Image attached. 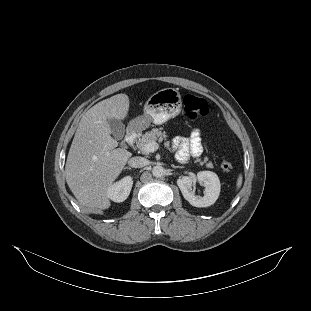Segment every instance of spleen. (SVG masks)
<instances>
[{
  "label": "spleen",
  "mask_w": 311,
  "mask_h": 311,
  "mask_svg": "<svg viewBox=\"0 0 311 311\" xmlns=\"http://www.w3.org/2000/svg\"><path fill=\"white\" fill-rule=\"evenodd\" d=\"M243 185V174L242 173H239L237 175V178H236V181H235V190H234V193H238L241 189Z\"/></svg>",
  "instance_id": "obj_1"
}]
</instances>
